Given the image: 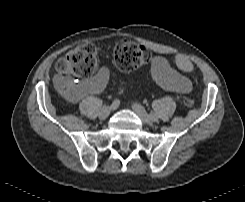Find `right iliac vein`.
<instances>
[{
    "label": "right iliac vein",
    "mask_w": 245,
    "mask_h": 202,
    "mask_svg": "<svg viewBox=\"0 0 245 202\" xmlns=\"http://www.w3.org/2000/svg\"><path fill=\"white\" fill-rule=\"evenodd\" d=\"M112 110H113L112 105L111 106L103 107L100 110V112H99V118L101 120H105L110 115V113L112 112Z\"/></svg>",
    "instance_id": "63e3f726"
}]
</instances>
